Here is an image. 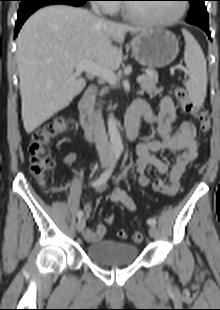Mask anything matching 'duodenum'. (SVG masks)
Listing matches in <instances>:
<instances>
[{
	"label": "duodenum",
	"instance_id": "duodenum-1",
	"mask_svg": "<svg viewBox=\"0 0 220 310\" xmlns=\"http://www.w3.org/2000/svg\"><path fill=\"white\" fill-rule=\"evenodd\" d=\"M96 94V87H88L78 104L80 123L88 138L94 136L95 130L98 126V120L93 110V103ZM140 116V113L133 109H129L127 112L124 134L129 141L134 140L137 136Z\"/></svg>",
	"mask_w": 220,
	"mask_h": 310
}]
</instances>
